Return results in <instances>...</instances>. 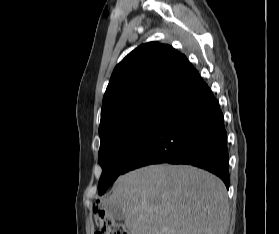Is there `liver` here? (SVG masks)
Listing matches in <instances>:
<instances>
[{
    "mask_svg": "<svg viewBox=\"0 0 279 234\" xmlns=\"http://www.w3.org/2000/svg\"><path fill=\"white\" fill-rule=\"evenodd\" d=\"M103 204L122 207L130 234H224L230 219L224 183L187 165H151L120 176Z\"/></svg>",
    "mask_w": 279,
    "mask_h": 234,
    "instance_id": "1",
    "label": "liver"
}]
</instances>
